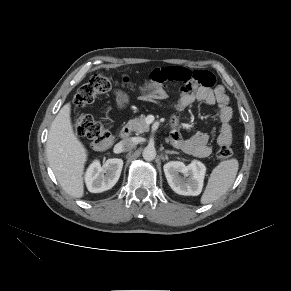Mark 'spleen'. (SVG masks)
<instances>
[{
	"mask_svg": "<svg viewBox=\"0 0 291 291\" xmlns=\"http://www.w3.org/2000/svg\"><path fill=\"white\" fill-rule=\"evenodd\" d=\"M238 169L239 163L235 158L220 162L210 174L201 203L209 204L223 196L232 186Z\"/></svg>",
	"mask_w": 291,
	"mask_h": 291,
	"instance_id": "obj_1",
	"label": "spleen"
}]
</instances>
